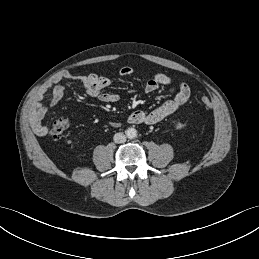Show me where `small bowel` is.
<instances>
[{"label": "small bowel", "mask_w": 259, "mask_h": 259, "mask_svg": "<svg viewBox=\"0 0 259 259\" xmlns=\"http://www.w3.org/2000/svg\"><path fill=\"white\" fill-rule=\"evenodd\" d=\"M133 69L125 66L121 69L122 76H130ZM69 81H74L83 86L86 94L98 99L102 102L115 103L120 100L117 93L103 92V89L111 85V79L101 74H87V75H74L69 72H63L59 78ZM169 87L172 98L164 102L162 105L146 114L142 111H135L129 116L131 123L140 124H156L164 120L169 115L177 111L183 106L190 97V88L185 83L173 84L172 78L164 73H156L153 77L147 79L144 83V89L148 93L157 91L160 87ZM65 86L56 84L51 90V106H57L65 94ZM44 91H39L35 96V101L29 112V124L32 132L37 136H46L48 134V127L42 123V119L46 115L47 108L42 104ZM117 125V122H113Z\"/></svg>", "instance_id": "c3829d8e"}]
</instances>
